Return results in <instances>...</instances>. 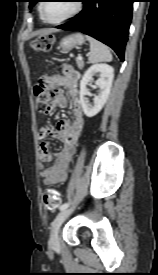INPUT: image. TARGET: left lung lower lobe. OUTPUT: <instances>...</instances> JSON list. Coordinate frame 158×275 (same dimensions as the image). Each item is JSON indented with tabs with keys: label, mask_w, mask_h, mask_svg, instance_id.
<instances>
[{
	"label": "left lung lower lobe",
	"mask_w": 158,
	"mask_h": 275,
	"mask_svg": "<svg viewBox=\"0 0 158 275\" xmlns=\"http://www.w3.org/2000/svg\"><path fill=\"white\" fill-rule=\"evenodd\" d=\"M83 10L57 28L90 35L110 46L121 61L132 19L134 0H83Z\"/></svg>",
	"instance_id": "0a47b994"
}]
</instances>
